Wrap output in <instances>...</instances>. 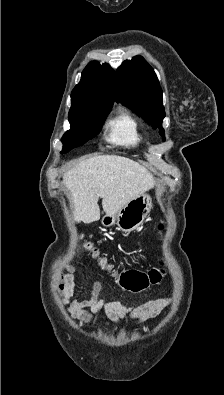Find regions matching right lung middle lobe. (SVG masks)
Segmentation results:
<instances>
[{
  "instance_id": "right-lung-middle-lobe-1",
  "label": "right lung middle lobe",
  "mask_w": 224,
  "mask_h": 395,
  "mask_svg": "<svg viewBox=\"0 0 224 395\" xmlns=\"http://www.w3.org/2000/svg\"><path fill=\"white\" fill-rule=\"evenodd\" d=\"M110 109L88 99L71 96V108L68 115L70 130L62 138L64 153L94 138L100 132Z\"/></svg>"
}]
</instances>
